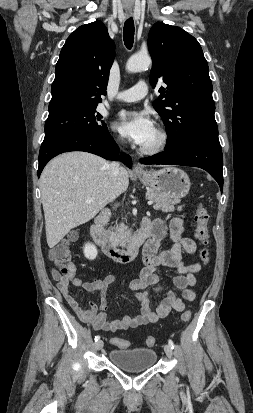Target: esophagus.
I'll use <instances>...</instances> for the list:
<instances>
[{"instance_id":"obj_1","label":"esophagus","mask_w":253,"mask_h":413,"mask_svg":"<svg viewBox=\"0 0 253 413\" xmlns=\"http://www.w3.org/2000/svg\"><path fill=\"white\" fill-rule=\"evenodd\" d=\"M130 14H131V12H127V15H130ZM133 171L135 173H141L143 171V169L139 165H134Z\"/></svg>"}]
</instances>
